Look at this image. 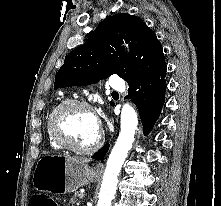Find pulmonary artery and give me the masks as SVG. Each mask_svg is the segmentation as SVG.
Instances as JSON below:
<instances>
[{
	"label": "pulmonary artery",
	"instance_id": "1",
	"mask_svg": "<svg viewBox=\"0 0 221 206\" xmlns=\"http://www.w3.org/2000/svg\"><path fill=\"white\" fill-rule=\"evenodd\" d=\"M109 86L118 91H123L125 88L124 81L117 75L110 77Z\"/></svg>",
	"mask_w": 221,
	"mask_h": 206
}]
</instances>
